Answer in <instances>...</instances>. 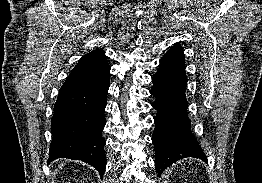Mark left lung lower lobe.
I'll return each instance as SVG.
<instances>
[{"label":"left lung lower lobe","mask_w":262,"mask_h":183,"mask_svg":"<svg viewBox=\"0 0 262 183\" xmlns=\"http://www.w3.org/2000/svg\"><path fill=\"white\" fill-rule=\"evenodd\" d=\"M152 80L150 94L155 97L152 106L157 110L152 142L158 174L186 157L207 162L206 155L191 132L185 96L187 77L183 48L171 47L160 59L159 69Z\"/></svg>","instance_id":"left-lung-lower-lobe-1"}]
</instances>
